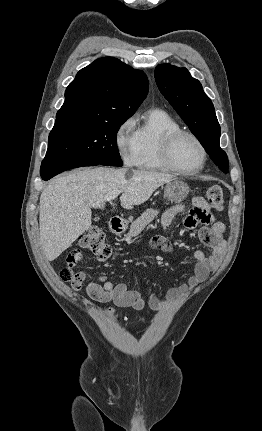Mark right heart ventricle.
<instances>
[{
    "mask_svg": "<svg viewBox=\"0 0 262 431\" xmlns=\"http://www.w3.org/2000/svg\"><path fill=\"white\" fill-rule=\"evenodd\" d=\"M180 129L178 122L160 109H151L134 124L136 138L135 165L141 169L168 171L161 158L166 133Z\"/></svg>",
    "mask_w": 262,
    "mask_h": 431,
    "instance_id": "right-heart-ventricle-1",
    "label": "right heart ventricle"
}]
</instances>
